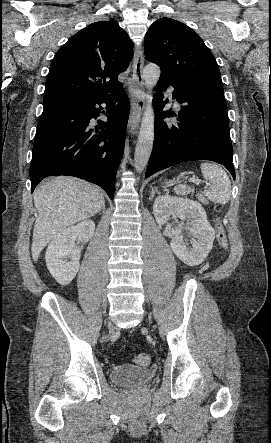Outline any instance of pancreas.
<instances>
[{"mask_svg": "<svg viewBox=\"0 0 271 443\" xmlns=\"http://www.w3.org/2000/svg\"><path fill=\"white\" fill-rule=\"evenodd\" d=\"M198 200H199V202H202V204H209L207 198H203V196H201V194H198Z\"/></svg>", "mask_w": 271, "mask_h": 443, "instance_id": "cf45deb5", "label": "pancreas"}]
</instances>
